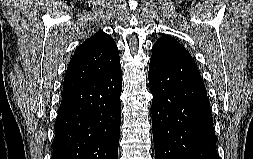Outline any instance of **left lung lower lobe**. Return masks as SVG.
Segmentation results:
<instances>
[{"label": "left lung lower lobe", "mask_w": 253, "mask_h": 159, "mask_svg": "<svg viewBox=\"0 0 253 159\" xmlns=\"http://www.w3.org/2000/svg\"><path fill=\"white\" fill-rule=\"evenodd\" d=\"M155 159H220L206 89L193 59L152 55Z\"/></svg>", "instance_id": "left-lung-lower-lobe-1"}]
</instances>
